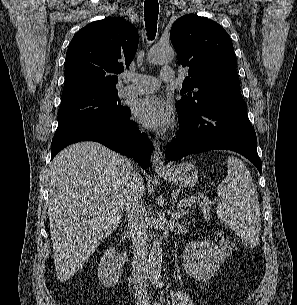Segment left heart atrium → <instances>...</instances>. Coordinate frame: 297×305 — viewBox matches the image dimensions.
Segmentation results:
<instances>
[{
	"label": "left heart atrium",
	"mask_w": 297,
	"mask_h": 305,
	"mask_svg": "<svg viewBox=\"0 0 297 305\" xmlns=\"http://www.w3.org/2000/svg\"><path fill=\"white\" fill-rule=\"evenodd\" d=\"M133 114L144 127L155 131L166 130L173 120L170 103L156 95L140 99L134 106Z\"/></svg>",
	"instance_id": "left-heart-atrium-1"
}]
</instances>
